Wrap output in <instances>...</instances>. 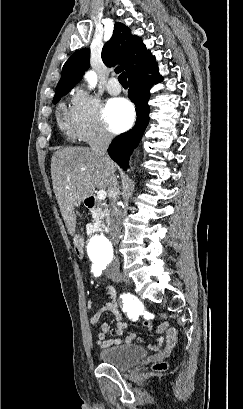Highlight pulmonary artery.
<instances>
[{
	"mask_svg": "<svg viewBox=\"0 0 243 409\" xmlns=\"http://www.w3.org/2000/svg\"><path fill=\"white\" fill-rule=\"evenodd\" d=\"M107 91L111 95H118L121 92V86L116 78H110L107 84Z\"/></svg>",
	"mask_w": 243,
	"mask_h": 409,
	"instance_id": "pulmonary-artery-1",
	"label": "pulmonary artery"
}]
</instances>
